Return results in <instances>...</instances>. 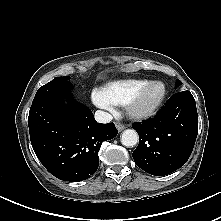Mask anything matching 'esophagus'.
Instances as JSON below:
<instances>
[{
  "label": "esophagus",
  "mask_w": 221,
  "mask_h": 221,
  "mask_svg": "<svg viewBox=\"0 0 221 221\" xmlns=\"http://www.w3.org/2000/svg\"><path fill=\"white\" fill-rule=\"evenodd\" d=\"M115 126L119 132L125 129V126L121 123H116Z\"/></svg>",
  "instance_id": "1"
}]
</instances>
